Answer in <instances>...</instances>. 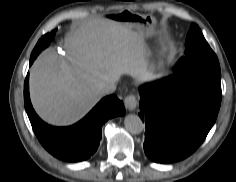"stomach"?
<instances>
[{"label":"stomach","instance_id":"0dacf381","mask_svg":"<svg viewBox=\"0 0 236 182\" xmlns=\"http://www.w3.org/2000/svg\"><path fill=\"white\" fill-rule=\"evenodd\" d=\"M99 18L104 23H121L130 29L137 31L145 36L153 37L158 34L156 19L150 15H143L125 10L123 12L104 10ZM166 49L162 47L159 51V69L165 68Z\"/></svg>","mask_w":236,"mask_h":182}]
</instances>
